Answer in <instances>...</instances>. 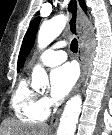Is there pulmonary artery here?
<instances>
[{
  "instance_id": "1",
  "label": "pulmonary artery",
  "mask_w": 112,
  "mask_h": 135,
  "mask_svg": "<svg viewBox=\"0 0 112 135\" xmlns=\"http://www.w3.org/2000/svg\"><path fill=\"white\" fill-rule=\"evenodd\" d=\"M64 42H58L53 44L47 50H45L38 58V61L45 66H56L66 60V53Z\"/></svg>"
}]
</instances>
